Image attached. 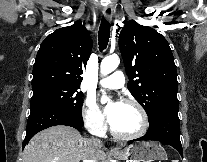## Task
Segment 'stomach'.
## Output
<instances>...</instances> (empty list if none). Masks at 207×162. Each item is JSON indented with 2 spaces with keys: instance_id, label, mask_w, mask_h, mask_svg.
Segmentation results:
<instances>
[{
  "instance_id": "1",
  "label": "stomach",
  "mask_w": 207,
  "mask_h": 162,
  "mask_svg": "<svg viewBox=\"0 0 207 162\" xmlns=\"http://www.w3.org/2000/svg\"><path fill=\"white\" fill-rule=\"evenodd\" d=\"M114 156L120 160L130 162H153L166 160L167 154L161 144L156 142H139L132 144L124 150L114 152Z\"/></svg>"
}]
</instances>
